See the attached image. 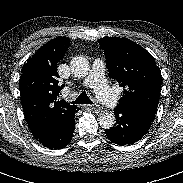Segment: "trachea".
Here are the masks:
<instances>
[{
  "instance_id": "1",
  "label": "trachea",
  "mask_w": 183,
  "mask_h": 183,
  "mask_svg": "<svg viewBox=\"0 0 183 183\" xmlns=\"http://www.w3.org/2000/svg\"><path fill=\"white\" fill-rule=\"evenodd\" d=\"M72 103L74 104H93V102L89 99L86 92H82L75 101Z\"/></svg>"
}]
</instances>
